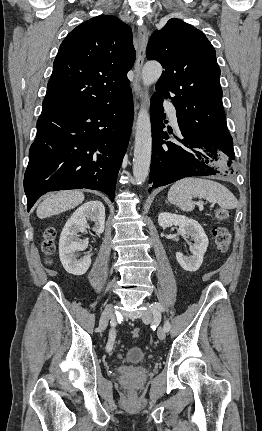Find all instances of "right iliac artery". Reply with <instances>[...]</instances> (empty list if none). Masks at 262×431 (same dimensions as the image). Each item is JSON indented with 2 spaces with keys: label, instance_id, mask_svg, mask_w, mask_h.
Listing matches in <instances>:
<instances>
[{
  "label": "right iliac artery",
  "instance_id": "1",
  "mask_svg": "<svg viewBox=\"0 0 262 431\" xmlns=\"http://www.w3.org/2000/svg\"><path fill=\"white\" fill-rule=\"evenodd\" d=\"M114 340H115V336L113 335V331L111 330L109 333V339H108V343H107V350L108 351L112 350Z\"/></svg>",
  "mask_w": 262,
  "mask_h": 431
}]
</instances>
